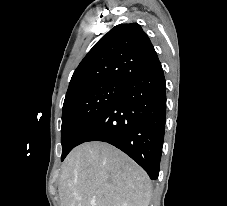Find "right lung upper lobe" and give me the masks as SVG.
<instances>
[{
	"mask_svg": "<svg viewBox=\"0 0 227 206\" xmlns=\"http://www.w3.org/2000/svg\"><path fill=\"white\" fill-rule=\"evenodd\" d=\"M158 61L149 37L139 24L117 25L80 62L70 80L66 97L97 83L125 82Z\"/></svg>",
	"mask_w": 227,
	"mask_h": 206,
	"instance_id": "right-lung-upper-lobe-1",
	"label": "right lung upper lobe"
}]
</instances>
